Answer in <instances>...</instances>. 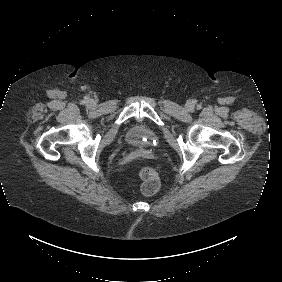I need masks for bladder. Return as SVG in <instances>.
<instances>
[{
    "label": "bladder",
    "mask_w": 282,
    "mask_h": 282,
    "mask_svg": "<svg viewBox=\"0 0 282 282\" xmlns=\"http://www.w3.org/2000/svg\"><path fill=\"white\" fill-rule=\"evenodd\" d=\"M125 140L132 147L152 148L158 142V135L150 126L137 123L127 130Z\"/></svg>",
    "instance_id": "1"
}]
</instances>
